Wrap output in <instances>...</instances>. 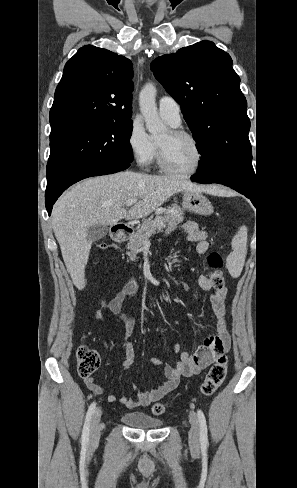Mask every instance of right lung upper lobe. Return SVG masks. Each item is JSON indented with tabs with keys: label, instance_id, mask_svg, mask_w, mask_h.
<instances>
[{
	"label": "right lung upper lobe",
	"instance_id": "right-lung-upper-lobe-1",
	"mask_svg": "<svg viewBox=\"0 0 297 488\" xmlns=\"http://www.w3.org/2000/svg\"><path fill=\"white\" fill-rule=\"evenodd\" d=\"M132 76V62L124 56L91 45L80 48L56 88L51 134L85 124L131 121Z\"/></svg>",
	"mask_w": 297,
	"mask_h": 488
}]
</instances>
